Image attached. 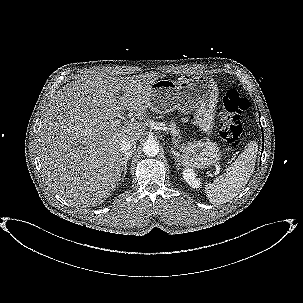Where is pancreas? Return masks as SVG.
I'll list each match as a JSON object with an SVG mask.
<instances>
[{
	"label": "pancreas",
	"mask_w": 303,
	"mask_h": 303,
	"mask_svg": "<svg viewBox=\"0 0 303 303\" xmlns=\"http://www.w3.org/2000/svg\"><path fill=\"white\" fill-rule=\"evenodd\" d=\"M169 130L172 135L173 143L178 144L181 141V136L179 135V130L176 128V125L173 122L170 123Z\"/></svg>",
	"instance_id": "obj_1"
}]
</instances>
